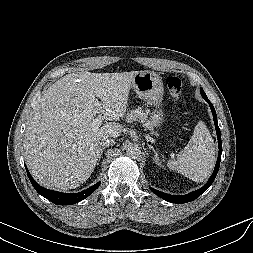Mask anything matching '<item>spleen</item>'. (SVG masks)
<instances>
[{"instance_id": "1", "label": "spleen", "mask_w": 253, "mask_h": 253, "mask_svg": "<svg viewBox=\"0 0 253 253\" xmlns=\"http://www.w3.org/2000/svg\"><path fill=\"white\" fill-rule=\"evenodd\" d=\"M215 165V146L204 122L195 126L194 133L186 147L169 160L167 166L195 182L209 177Z\"/></svg>"}]
</instances>
